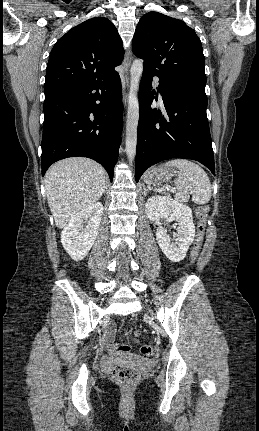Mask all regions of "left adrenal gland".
I'll list each match as a JSON object with an SVG mask.
<instances>
[{"instance_id":"obj_1","label":"left adrenal gland","mask_w":259,"mask_h":431,"mask_svg":"<svg viewBox=\"0 0 259 431\" xmlns=\"http://www.w3.org/2000/svg\"><path fill=\"white\" fill-rule=\"evenodd\" d=\"M143 190H144V192H143V194H144V195H146V194H147V192L149 191V189H147V188H146V186H145L144 184H143Z\"/></svg>"}]
</instances>
